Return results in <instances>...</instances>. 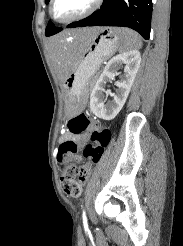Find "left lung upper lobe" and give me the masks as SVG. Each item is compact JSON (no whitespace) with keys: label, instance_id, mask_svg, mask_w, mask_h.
Returning <instances> with one entry per match:
<instances>
[{"label":"left lung upper lobe","instance_id":"left-lung-upper-lobe-1","mask_svg":"<svg viewBox=\"0 0 183 246\" xmlns=\"http://www.w3.org/2000/svg\"><path fill=\"white\" fill-rule=\"evenodd\" d=\"M49 1L50 0H45V3L48 4ZM61 30H62V28L56 27L51 21H49L47 28H46L45 35L51 36V35H54V34L60 32Z\"/></svg>","mask_w":183,"mask_h":246}]
</instances>
